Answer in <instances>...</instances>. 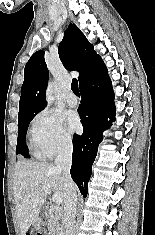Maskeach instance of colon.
I'll list each match as a JSON object with an SVG mask.
<instances>
[{
    "label": "colon",
    "mask_w": 155,
    "mask_h": 235,
    "mask_svg": "<svg viewBox=\"0 0 155 235\" xmlns=\"http://www.w3.org/2000/svg\"><path fill=\"white\" fill-rule=\"evenodd\" d=\"M26 235H45V234L42 233V232H35V231H33V232H30V233H28Z\"/></svg>",
    "instance_id": "1"
}]
</instances>
